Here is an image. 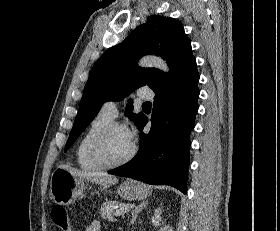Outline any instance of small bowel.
<instances>
[{"label": "small bowel", "instance_id": "c3829d8e", "mask_svg": "<svg viewBox=\"0 0 280 231\" xmlns=\"http://www.w3.org/2000/svg\"><path fill=\"white\" fill-rule=\"evenodd\" d=\"M100 225L98 222L94 221L92 222L87 228L86 231H99Z\"/></svg>", "mask_w": 280, "mask_h": 231}]
</instances>
